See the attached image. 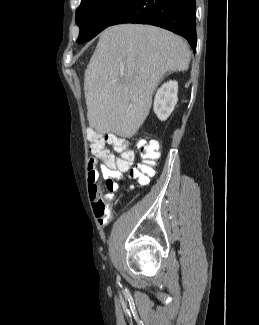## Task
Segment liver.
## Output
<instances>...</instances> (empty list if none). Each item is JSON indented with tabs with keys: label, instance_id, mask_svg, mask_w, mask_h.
Returning a JSON list of instances; mask_svg holds the SVG:
<instances>
[{
	"label": "liver",
	"instance_id": "liver-1",
	"mask_svg": "<svg viewBox=\"0 0 259 325\" xmlns=\"http://www.w3.org/2000/svg\"><path fill=\"white\" fill-rule=\"evenodd\" d=\"M191 52L181 37L151 25L121 24L101 34L84 75L89 126L131 138L146 120L167 71H185Z\"/></svg>",
	"mask_w": 259,
	"mask_h": 325
}]
</instances>
